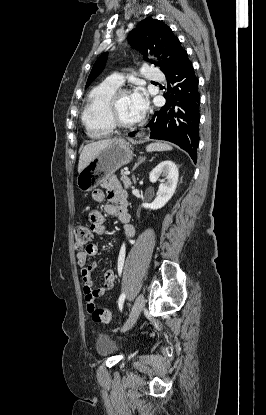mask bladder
I'll return each mask as SVG.
<instances>
[{
    "label": "bladder",
    "mask_w": 266,
    "mask_h": 415,
    "mask_svg": "<svg viewBox=\"0 0 266 415\" xmlns=\"http://www.w3.org/2000/svg\"><path fill=\"white\" fill-rule=\"evenodd\" d=\"M95 349L99 355L105 356L117 353L119 346L111 335L101 333L96 338Z\"/></svg>",
    "instance_id": "obj_1"
}]
</instances>
